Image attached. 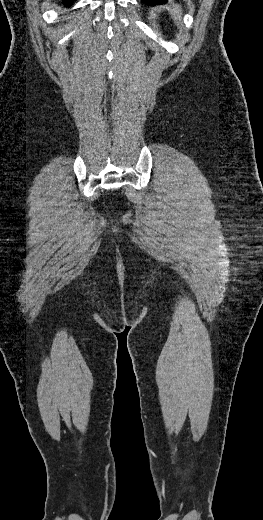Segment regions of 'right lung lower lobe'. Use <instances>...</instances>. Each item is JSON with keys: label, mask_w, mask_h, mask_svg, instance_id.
<instances>
[{"label": "right lung lower lobe", "mask_w": 263, "mask_h": 520, "mask_svg": "<svg viewBox=\"0 0 263 520\" xmlns=\"http://www.w3.org/2000/svg\"><path fill=\"white\" fill-rule=\"evenodd\" d=\"M74 0H65V3L71 4Z\"/></svg>", "instance_id": "1"}]
</instances>
